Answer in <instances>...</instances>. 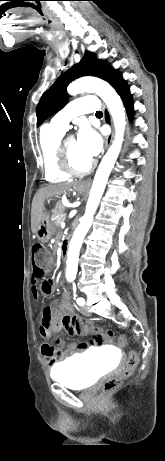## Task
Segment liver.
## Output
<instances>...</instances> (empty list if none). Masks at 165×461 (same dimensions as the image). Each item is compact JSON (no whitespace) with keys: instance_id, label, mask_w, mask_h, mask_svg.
Segmentation results:
<instances>
[{"instance_id":"obj_1","label":"liver","mask_w":165,"mask_h":461,"mask_svg":"<svg viewBox=\"0 0 165 461\" xmlns=\"http://www.w3.org/2000/svg\"><path fill=\"white\" fill-rule=\"evenodd\" d=\"M77 183L49 185L38 190L32 201L31 208V230L36 233L43 218L44 202L47 198L58 197L66 194L73 187L75 189Z\"/></svg>"}]
</instances>
